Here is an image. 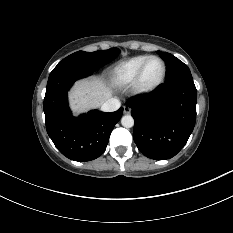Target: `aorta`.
Instances as JSON below:
<instances>
[{
    "mask_svg": "<svg viewBox=\"0 0 233 233\" xmlns=\"http://www.w3.org/2000/svg\"><path fill=\"white\" fill-rule=\"evenodd\" d=\"M121 124L125 128H131L134 125V119L131 115H125L121 118Z\"/></svg>",
    "mask_w": 233,
    "mask_h": 233,
    "instance_id": "1",
    "label": "aorta"
}]
</instances>
